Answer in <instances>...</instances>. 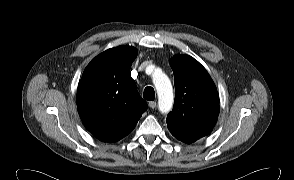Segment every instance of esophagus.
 Wrapping results in <instances>:
<instances>
[{
    "instance_id": "obj_1",
    "label": "esophagus",
    "mask_w": 294,
    "mask_h": 180,
    "mask_svg": "<svg viewBox=\"0 0 294 180\" xmlns=\"http://www.w3.org/2000/svg\"><path fill=\"white\" fill-rule=\"evenodd\" d=\"M148 105H149L150 108L154 109V108H156L157 103H156V101H150V102L148 103Z\"/></svg>"
}]
</instances>
